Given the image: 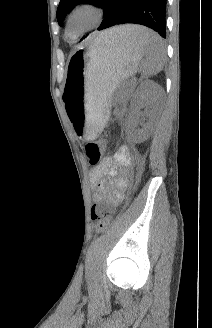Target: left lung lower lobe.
Here are the masks:
<instances>
[{"label":"left lung lower lobe","instance_id":"1","mask_svg":"<svg viewBox=\"0 0 212 328\" xmlns=\"http://www.w3.org/2000/svg\"><path fill=\"white\" fill-rule=\"evenodd\" d=\"M166 0H106L98 30L118 24H140L166 38Z\"/></svg>","mask_w":212,"mask_h":328}]
</instances>
